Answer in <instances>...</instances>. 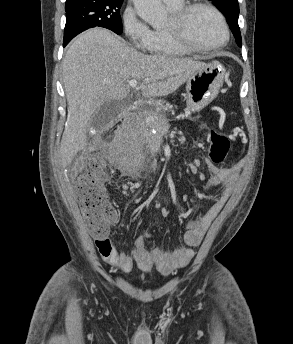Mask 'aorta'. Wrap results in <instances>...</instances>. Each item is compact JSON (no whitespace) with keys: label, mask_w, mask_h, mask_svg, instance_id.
Masks as SVG:
<instances>
[{"label":"aorta","mask_w":293,"mask_h":344,"mask_svg":"<svg viewBox=\"0 0 293 344\" xmlns=\"http://www.w3.org/2000/svg\"><path fill=\"white\" fill-rule=\"evenodd\" d=\"M139 17L157 28L162 26L167 19V13L160 0H133Z\"/></svg>","instance_id":"obj_1"}]
</instances>
